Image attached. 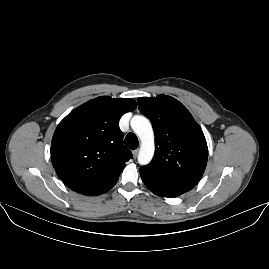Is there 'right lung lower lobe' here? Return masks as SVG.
Listing matches in <instances>:
<instances>
[{
  "mask_svg": "<svg viewBox=\"0 0 269 269\" xmlns=\"http://www.w3.org/2000/svg\"><path fill=\"white\" fill-rule=\"evenodd\" d=\"M115 184H116V182L112 183L111 185H108L106 187L83 191V192H81V194L88 195V196L100 195V194H103V193L107 192L108 190H110Z\"/></svg>",
  "mask_w": 269,
  "mask_h": 269,
  "instance_id": "obj_1",
  "label": "right lung lower lobe"
}]
</instances>
